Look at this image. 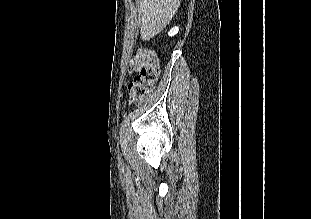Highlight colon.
<instances>
[{"label": "colon", "instance_id": "colon-1", "mask_svg": "<svg viewBox=\"0 0 311 219\" xmlns=\"http://www.w3.org/2000/svg\"><path fill=\"white\" fill-rule=\"evenodd\" d=\"M129 71L135 74L128 86L130 99L134 104L142 103L151 94L160 75L156 52L150 48L139 49L129 63Z\"/></svg>", "mask_w": 311, "mask_h": 219}]
</instances>
